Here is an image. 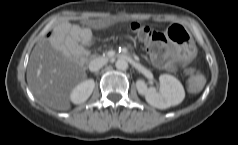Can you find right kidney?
<instances>
[{"instance_id": "obj_1", "label": "right kidney", "mask_w": 238, "mask_h": 145, "mask_svg": "<svg viewBox=\"0 0 238 145\" xmlns=\"http://www.w3.org/2000/svg\"><path fill=\"white\" fill-rule=\"evenodd\" d=\"M95 87L93 79H87L78 84L70 93V99L74 104L84 103L92 94Z\"/></svg>"}]
</instances>
